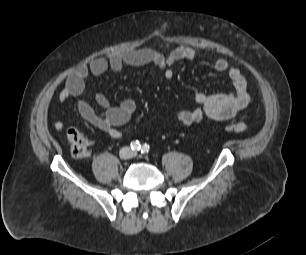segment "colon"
<instances>
[{
	"instance_id": "5ec220e1",
	"label": "colon",
	"mask_w": 306,
	"mask_h": 255,
	"mask_svg": "<svg viewBox=\"0 0 306 255\" xmlns=\"http://www.w3.org/2000/svg\"><path fill=\"white\" fill-rule=\"evenodd\" d=\"M247 124L242 121H232L226 125V129L231 132L242 133L247 130ZM67 140L70 143L71 154L76 158H84L89 154V141L83 134L75 129L70 128L67 131Z\"/></svg>"
}]
</instances>
